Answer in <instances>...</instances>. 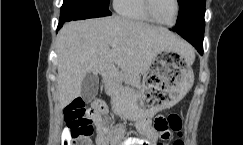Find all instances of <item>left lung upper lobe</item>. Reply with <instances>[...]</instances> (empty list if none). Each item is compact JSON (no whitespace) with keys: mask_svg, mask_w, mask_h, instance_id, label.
Masks as SVG:
<instances>
[{"mask_svg":"<svg viewBox=\"0 0 243 145\" xmlns=\"http://www.w3.org/2000/svg\"><path fill=\"white\" fill-rule=\"evenodd\" d=\"M179 15H184L188 21L196 22L204 31L206 0H178Z\"/></svg>","mask_w":243,"mask_h":145,"instance_id":"left-lung-upper-lobe-1","label":"left lung upper lobe"}]
</instances>
